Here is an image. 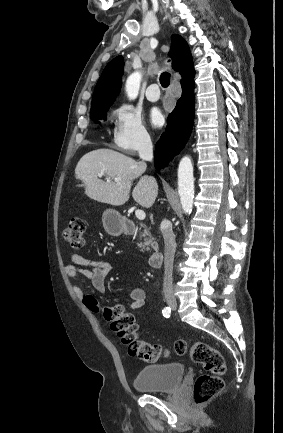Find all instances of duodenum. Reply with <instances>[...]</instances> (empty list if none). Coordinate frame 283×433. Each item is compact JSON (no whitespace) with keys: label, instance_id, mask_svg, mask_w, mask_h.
<instances>
[{"label":"duodenum","instance_id":"1","mask_svg":"<svg viewBox=\"0 0 283 433\" xmlns=\"http://www.w3.org/2000/svg\"><path fill=\"white\" fill-rule=\"evenodd\" d=\"M124 230L127 234H134L136 232V226L129 221H126L123 224ZM163 262V253L159 250L153 252L149 258V264L150 266L154 268H158L162 265Z\"/></svg>","mask_w":283,"mask_h":433}]
</instances>
